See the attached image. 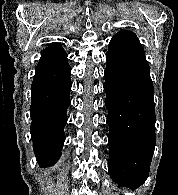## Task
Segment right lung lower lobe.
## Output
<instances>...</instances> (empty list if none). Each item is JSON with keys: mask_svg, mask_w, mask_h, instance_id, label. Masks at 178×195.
<instances>
[{"mask_svg": "<svg viewBox=\"0 0 178 195\" xmlns=\"http://www.w3.org/2000/svg\"><path fill=\"white\" fill-rule=\"evenodd\" d=\"M70 74L67 60L36 67L31 86V138L41 167L54 164L61 155L65 141L66 111L71 103Z\"/></svg>", "mask_w": 178, "mask_h": 195, "instance_id": "1", "label": "right lung lower lobe"}]
</instances>
